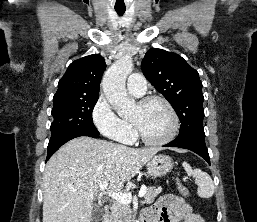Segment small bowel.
<instances>
[{
    "instance_id": "c3829d8e",
    "label": "small bowel",
    "mask_w": 257,
    "mask_h": 222,
    "mask_svg": "<svg viewBox=\"0 0 257 222\" xmlns=\"http://www.w3.org/2000/svg\"><path fill=\"white\" fill-rule=\"evenodd\" d=\"M144 222H205L192 211L190 204L182 197L167 195L161 197L144 213Z\"/></svg>"
}]
</instances>
